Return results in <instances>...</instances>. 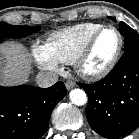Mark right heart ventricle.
<instances>
[{
	"label": "right heart ventricle",
	"instance_id": "e07e8e85",
	"mask_svg": "<svg viewBox=\"0 0 139 139\" xmlns=\"http://www.w3.org/2000/svg\"><path fill=\"white\" fill-rule=\"evenodd\" d=\"M102 26L87 22L55 31L46 39L45 47L57 62L72 64L89 37Z\"/></svg>",
	"mask_w": 139,
	"mask_h": 139
}]
</instances>
